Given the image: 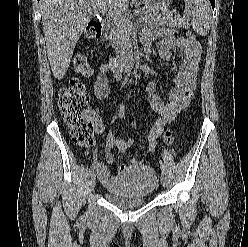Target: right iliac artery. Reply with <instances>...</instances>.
I'll list each match as a JSON object with an SVG mask.
<instances>
[{
	"instance_id": "1",
	"label": "right iliac artery",
	"mask_w": 248,
	"mask_h": 247,
	"mask_svg": "<svg viewBox=\"0 0 248 247\" xmlns=\"http://www.w3.org/2000/svg\"><path fill=\"white\" fill-rule=\"evenodd\" d=\"M95 167H96L95 162H93L88 171L89 176H91V174L94 172Z\"/></svg>"
}]
</instances>
